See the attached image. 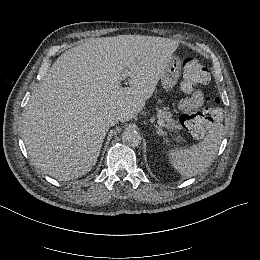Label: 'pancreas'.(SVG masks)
<instances>
[{"instance_id":"cf45deb5","label":"pancreas","mask_w":260,"mask_h":260,"mask_svg":"<svg viewBox=\"0 0 260 260\" xmlns=\"http://www.w3.org/2000/svg\"><path fill=\"white\" fill-rule=\"evenodd\" d=\"M157 117L166 121V127L169 130L182 128L179 122L172 118V113L169 111V107H163V109H159Z\"/></svg>"}]
</instances>
